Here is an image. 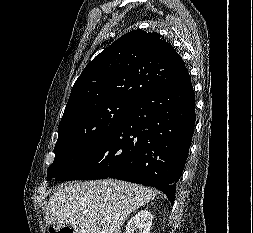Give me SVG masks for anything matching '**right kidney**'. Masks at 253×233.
<instances>
[{"instance_id": "obj_1", "label": "right kidney", "mask_w": 253, "mask_h": 233, "mask_svg": "<svg viewBox=\"0 0 253 233\" xmlns=\"http://www.w3.org/2000/svg\"><path fill=\"white\" fill-rule=\"evenodd\" d=\"M153 216L148 210H141L132 217L126 226V233H149Z\"/></svg>"}]
</instances>
